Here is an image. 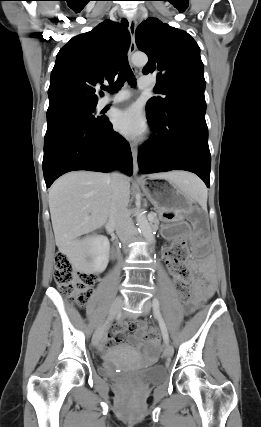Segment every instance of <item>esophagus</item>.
I'll return each instance as SVG.
<instances>
[{
	"mask_svg": "<svg viewBox=\"0 0 261 427\" xmlns=\"http://www.w3.org/2000/svg\"><path fill=\"white\" fill-rule=\"evenodd\" d=\"M130 33V46L128 50V58L131 62L132 56L136 50V42H135V30H136V20L134 18L129 19V27ZM133 71H136L135 67L132 65ZM132 159H133V175L135 178H139V166H138V152L134 145L131 147Z\"/></svg>",
	"mask_w": 261,
	"mask_h": 427,
	"instance_id": "34e87169",
	"label": "esophagus"
}]
</instances>
